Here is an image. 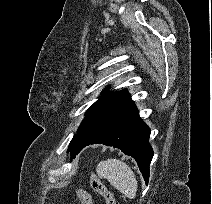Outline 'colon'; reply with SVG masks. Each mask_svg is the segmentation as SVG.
<instances>
[{
    "instance_id": "5ec220e1",
    "label": "colon",
    "mask_w": 212,
    "mask_h": 204,
    "mask_svg": "<svg viewBox=\"0 0 212 204\" xmlns=\"http://www.w3.org/2000/svg\"><path fill=\"white\" fill-rule=\"evenodd\" d=\"M90 185L96 193L103 197L106 204H116L113 194L94 172L90 176ZM77 197L81 204H92V197L85 189L79 188L77 190Z\"/></svg>"
}]
</instances>
